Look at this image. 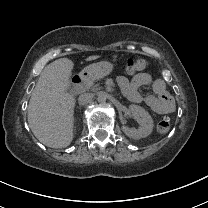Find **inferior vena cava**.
<instances>
[{
	"mask_svg": "<svg viewBox=\"0 0 208 208\" xmlns=\"http://www.w3.org/2000/svg\"><path fill=\"white\" fill-rule=\"evenodd\" d=\"M93 96L89 93L81 94L78 98V102L81 106H86L92 102Z\"/></svg>",
	"mask_w": 208,
	"mask_h": 208,
	"instance_id": "obj_1",
	"label": "inferior vena cava"
}]
</instances>
